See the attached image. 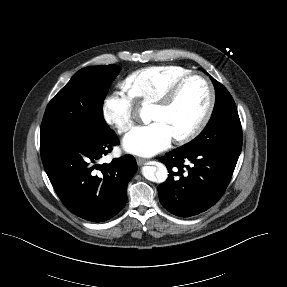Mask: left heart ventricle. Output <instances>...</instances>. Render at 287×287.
<instances>
[{
	"mask_svg": "<svg viewBox=\"0 0 287 287\" xmlns=\"http://www.w3.org/2000/svg\"><path fill=\"white\" fill-rule=\"evenodd\" d=\"M209 101V92L200 78L189 80L179 92L174 103L168 108L154 106L152 121L163 122L173 137L191 130L202 118Z\"/></svg>",
	"mask_w": 287,
	"mask_h": 287,
	"instance_id": "left-heart-ventricle-1",
	"label": "left heart ventricle"
}]
</instances>
